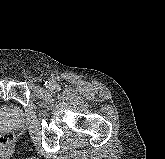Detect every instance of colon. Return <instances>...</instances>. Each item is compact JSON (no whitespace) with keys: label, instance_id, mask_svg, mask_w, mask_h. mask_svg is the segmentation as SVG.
<instances>
[{"label":"colon","instance_id":"1","mask_svg":"<svg viewBox=\"0 0 165 159\" xmlns=\"http://www.w3.org/2000/svg\"><path fill=\"white\" fill-rule=\"evenodd\" d=\"M14 142V135L12 133L6 132L0 134V145L9 147Z\"/></svg>","mask_w":165,"mask_h":159}]
</instances>
